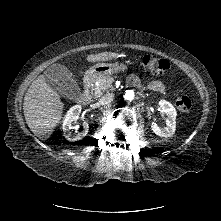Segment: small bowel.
Returning a JSON list of instances; mask_svg holds the SVG:
<instances>
[{"instance_id":"1","label":"small bowel","mask_w":221,"mask_h":221,"mask_svg":"<svg viewBox=\"0 0 221 221\" xmlns=\"http://www.w3.org/2000/svg\"><path fill=\"white\" fill-rule=\"evenodd\" d=\"M130 82L134 86H138L140 84V81L136 76H131L130 77ZM148 87L152 90H155V91H164L165 90L164 84L161 81H158V80L150 82L148 84Z\"/></svg>"}]
</instances>
